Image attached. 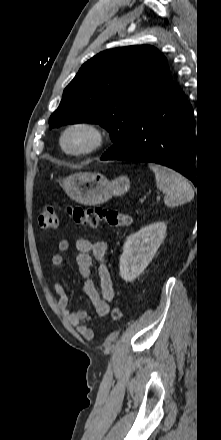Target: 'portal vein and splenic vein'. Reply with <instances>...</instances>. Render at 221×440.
<instances>
[{
	"mask_svg": "<svg viewBox=\"0 0 221 440\" xmlns=\"http://www.w3.org/2000/svg\"><path fill=\"white\" fill-rule=\"evenodd\" d=\"M160 200V197H157V201H159Z\"/></svg>",
	"mask_w": 221,
	"mask_h": 440,
	"instance_id": "portal-vein-and-splenic-vein-1",
	"label": "portal vein and splenic vein"
}]
</instances>
